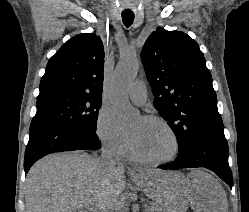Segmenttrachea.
<instances>
[{"label":"trachea","instance_id":"1","mask_svg":"<svg viewBox=\"0 0 249 212\" xmlns=\"http://www.w3.org/2000/svg\"><path fill=\"white\" fill-rule=\"evenodd\" d=\"M122 20H123L125 27H130V25H132V22L134 20V13L133 12H123L122 13Z\"/></svg>","mask_w":249,"mask_h":212}]
</instances>
